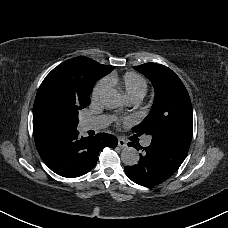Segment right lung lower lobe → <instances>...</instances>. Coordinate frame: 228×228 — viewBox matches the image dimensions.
Instances as JSON below:
<instances>
[{"mask_svg":"<svg viewBox=\"0 0 228 228\" xmlns=\"http://www.w3.org/2000/svg\"><path fill=\"white\" fill-rule=\"evenodd\" d=\"M37 150L46 165L56 174L74 178L95 167L104 147L115 148L118 140L107 133L80 137L77 129L53 131L34 136Z\"/></svg>","mask_w":228,"mask_h":228,"instance_id":"1","label":"right lung lower lobe"}]
</instances>
